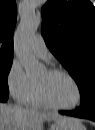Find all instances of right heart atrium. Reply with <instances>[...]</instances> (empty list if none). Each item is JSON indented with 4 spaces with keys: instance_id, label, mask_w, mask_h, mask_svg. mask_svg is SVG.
Wrapping results in <instances>:
<instances>
[{
    "instance_id": "right-heart-atrium-1",
    "label": "right heart atrium",
    "mask_w": 95,
    "mask_h": 130,
    "mask_svg": "<svg viewBox=\"0 0 95 130\" xmlns=\"http://www.w3.org/2000/svg\"><path fill=\"white\" fill-rule=\"evenodd\" d=\"M35 83L26 75L19 63H13L7 75V87L10 95L21 103H27Z\"/></svg>"
}]
</instances>
